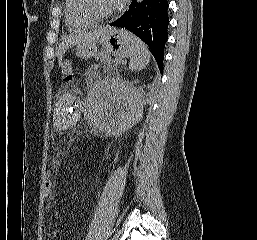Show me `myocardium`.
Wrapping results in <instances>:
<instances>
[{
	"label": "myocardium",
	"mask_w": 257,
	"mask_h": 240,
	"mask_svg": "<svg viewBox=\"0 0 257 240\" xmlns=\"http://www.w3.org/2000/svg\"><path fill=\"white\" fill-rule=\"evenodd\" d=\"M79 1V9L81 13L88 19L94 21L95 23L104 22L110 19L114 15V11L112 10L106 14H98L94 11L92 7V0H78Z\"/></svg>",
	"instance_id": "f54148a6"
}]
</instances>
